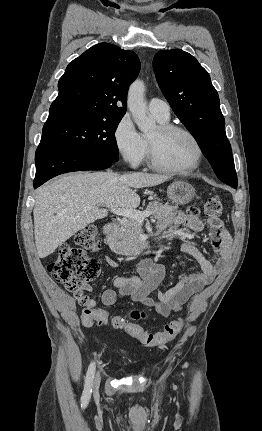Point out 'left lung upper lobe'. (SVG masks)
<instances>
[{
    "label": "left lung upper lobe",
    "mask_w": 262,
    "mask_h": 431,
    "mask_svg": "<svg viewBox=\"0 0 262 431\" xmlns=\"http://www.w3.org/2000/svg\"><path fill=\"white\" fill-rule=\"evenodd\" d=\"M153 68L162 93L196 139L218 178L236 188L237 175L225 120L208 72L181 49L156 53Z\"/></svg>",
    "instance_id": "left-lung-upper-lobe-1"
}]
</instances>
